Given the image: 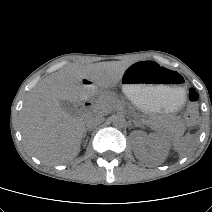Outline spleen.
<instances>
[{
  "label": "spleen",
  "mask_w": 212,
  "mask_h": 212,
  "mask_svg": "<svg viewBox=\"0 0 212 212\" xmlns=\"http://www.w3.org/2000/svg\"><path fill=\"white\" fill-rule=\"evenodd\" d=\"M192 138L188 135L187 137L181 139H174L173 146L175 150L185 151L186 148L190 145Z\"/></svg>",
  "instance_id": "1"
}]
</instances>
